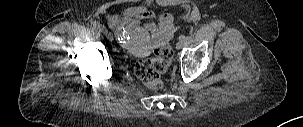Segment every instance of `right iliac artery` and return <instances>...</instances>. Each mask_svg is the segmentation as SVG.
<instances>
[{"label":"right iliac artery","instance_id":"obj_1","mask_svg":"<svg viewBox=\"0 0 303 127\" xmlns=\"http://www.w3.org/2000/svg\"><path fill=\"white\" fill-rule=\"evenodd\" d=\"M94 26L97 28V29H99V31H101V32H103V33H105L106 31H107V29L103 26V25H101V24H99V23H94Z\"/></svg>","mask_w":303,"mask_h":127}]
</instances>
